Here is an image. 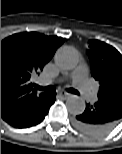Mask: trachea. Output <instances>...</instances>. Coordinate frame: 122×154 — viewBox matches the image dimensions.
Instances as JSON below:
<instances>
[{
  "label": "trachea",
  "instance_id": "1",
  "mask_svg": "<svg viewBox=\"0 0 122 154\" xmlns=\"http://www.w3.org/2000/svg\"><path fill=\"white\" fill-rule=\"evenodd\" d=\"M35 88H37L38 90L46 91V92H55L56 91V88L52 85L47 86V87H41V86L35 85ZM67 91L70 93L79 95V92L73 88H69V89H67Z\"/></svg>",
  "mask_w": 122,
  "mask_h": 154
}]
</instances>
